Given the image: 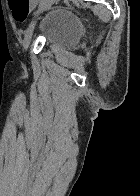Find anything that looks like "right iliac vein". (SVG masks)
Returning <instances> with one entry per match:
<instances>
[{
  "label": "right iliac vein",
  "mask_w": 140,
  "mask_h": 196,
  "mask_svg": "<svg viewBox=\"0 0 140 196\" xmlns=\"http://www.w3.org/2000/svg\"><path fill=\"white\" fill-rule=\"evenodd\" d=\"M51 4H52L51 1L46 2L45 5L42 7L41 11H45V10L49 9ZM34 25H35V22L32 21L25 32L24 39H23L24 50H28L30 47V43H31V40L33 37Z\"/></svg>",
  "instance_id": "right-iliac-vein-1"
}]
</instances>
